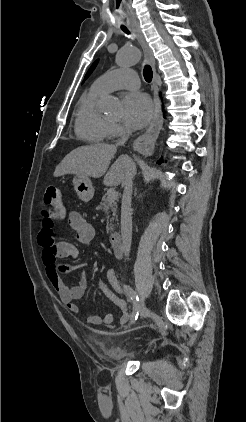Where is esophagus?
Wrapping results in <instances>:
<instances>
[{
  "label": "esophagus",
  "instance_id": "1",
  "mask_svg": "<svg viewBox=\"0 0 246 422\" xmlns=\"http://www.w3.org/2000/svg\"><path fill=\"white\" fill-rule=\"evenodd\" d=\"M134 33L138 39L139 44L141 45L145 60L151 65L153 70V87L155 92V109L152 121L146 130L145 133L140 135L134 142L133 148L134 150L142 153L148 154L151 153L154 149L155 141L159 135V132L162 128L163 119H162V112H161V102L158 97V89H157V74H156V66H155V59L152 53L151 48L149 47L141 28L138 24L132 26Z\"/></svg>",
  "mask_w": 246,
  "mask_h": 422
}]
</instances>
